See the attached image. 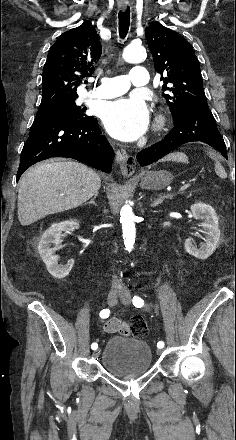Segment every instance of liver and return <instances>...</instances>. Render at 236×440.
I'll return each mask as SVG.
<instances>
[{
    "mask_svg": "<svg viewBox=\"0 0 236 440\" xmlns=\"http://www.w3.org/2000/svg\"><path fill=\"white\" fill-rule=\"evenodd\" d=\"M167 160L187 161L183 154ZM100 176L87 166L74 162L42 163L21 178L18 191V219L28 226L47 215L74 209L98 193Z\"/></svg>",
    "mask_w": 236,
    "mask_h": 440,
    "instance_id": "liver-1",
    "label": "liver"
}]
</instances>
